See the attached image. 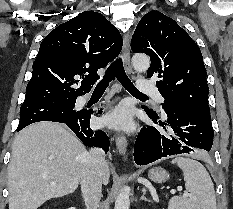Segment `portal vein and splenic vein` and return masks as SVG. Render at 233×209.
<instances>
[{
	"instance_id": "18ae733b",
	"label": "portal vein and splenic vein",
	"mask_w": 233,
	"mask_h": 209,
	"mask_svg": "<svg viewBox=\"0 0 233 209\" xmlns=\"http://www.w3.org/2000/svg\"><path fill=\"white\" fill-rule=\"evenodd\" d=\"M55 184H56L55 182H52V185H53V186H54ZM178 190L181 191L182 189L179 188ZM172 193H175V191L173 190Z\"/></svg>"
}]
</instances>
